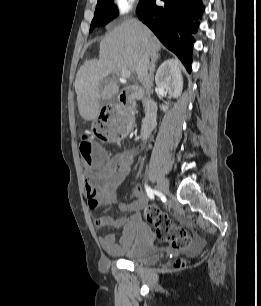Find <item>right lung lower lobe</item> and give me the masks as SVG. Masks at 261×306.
Wrapping results in <instances>:
<instances>
[{
    "label": "right lung lower lobe",
    "mask_w": 261,
    "mask_h": 306,
    "mask_svg": "<svg viewBox=\"0 0 261 306\" xmlns=\"http://www.w3.org/2000/svg\"><path fill=\"white\" fill-rule=\"evenodd\" d=\"M156 0H143L139 3L136 13L159 38V40L191 71V54L193 43L188 39L195 33L194 24L188 16L197 19L204 7L201 0H163L165 5L158 7Z\"/></svg>",
    "instance_id": "98d812e1"
}]
</instances>
